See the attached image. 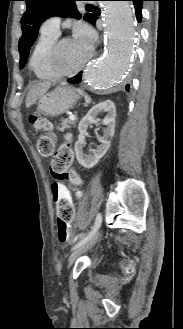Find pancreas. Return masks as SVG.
I'll return each mask as SVG.
<instances>
[{"label": "pancreas", "instance_id": "1", "mask_svg": "<svg viewBox=\"0 0 183 329\" xmlns=\"http://www.w3.org/2000/svg\"><path fill=\"white\" fill-rule=\"evenodd\" d=\"M75 122H76L75 120L62 119L61 120V127H59L58 130L63 132L66 129H69L72 125H74Z\"/></svg>", "mask_w": 183, "mask_h": 329}]
</instances>
